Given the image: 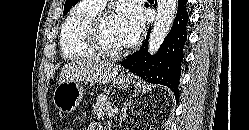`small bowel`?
Wrapping results in <instances>:
<instances>
[{"mask_svg": "<svg viewBox=\"0 0 249 130\" xmlns=\"http://www.w3.org/2000/svg\"><path fill=\"white\" fill-rule=\"evenodd\" d=\"M87 130H102V127L98 123L92 122L89 124Z\"/></svg>", "mask_w": 249, "mask_h": 130, "instance_id": "obj_1", "label": "small bowel"}]
</instances>
